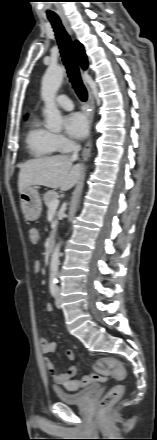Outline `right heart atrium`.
I'll return each mask as SVG.
<instances>
[{
  "instance_id": "1",
  "label": "right heart atrium",
  "mask_w": 157,
  "mask_h": 440,
  "mask_svg": "<svg viewBox=\"0 0 157 440\" xmlns=\"http://www.w3.org/2000/svg\"><path fill=\"white\" fill-rule=\"evenodd\" d=\"M52 139L56 149L67 150L72 145L66 137L60 134H52Z\"/></svg>"
}]
</instances>
